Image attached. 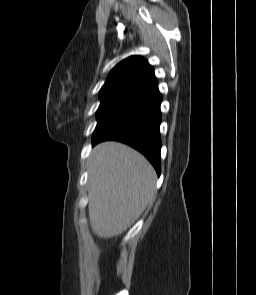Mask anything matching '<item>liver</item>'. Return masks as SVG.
Instances as JSON below:
<instances>
[{
	"label": "liver",
	"instance_id": "obj_1",
	"mask_svg": "<svg viewBox=\"0 0 256 295\" xmlns=\"http://www.w3.org/2000/svg\"><path fill=\"white\" fill-rule=\"evenodd\" d=\"M88 172L90 225L101 238L126 231L154 198V168L122 143L108 141L95 146Z\"/></svg>",
	"mask_w": 256,
	"mask_h": 295
}]
</instances>
